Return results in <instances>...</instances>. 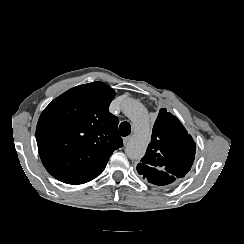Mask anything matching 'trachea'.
I'll use <instances>...</instances> for the list:
<instances>
[{"label": "trachea", "instance_id": "3493384b", "mask_svg": "<svg viewBox=\"0 0 244 244\" xmlns=\"http://www.w3.org/2000/svg\"><path fill=\"white\" fill-rule=\"evenodd\" d=\"M119 133L121 136L126 137L131 133V126L128 122H122L119 126Z\"/></svg>", "mask_w": 244, "mask_h": 244}]
</instances>
